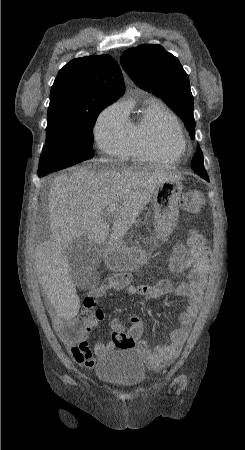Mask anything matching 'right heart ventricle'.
Returning a JSON list of instances; mask_svg holds the SVG:
<instances>
[{
  "label": "right heart ventricle",
  "mask_w": 245,
  "mask_h": 450,
  "mask_svg": "<svg viewBox=\"0 0 245 450\" xmlns=\"http://www.w3.org/2000/svg\"><path fill=\"white\" fill-rule=\"evenodd\" d=\"M126 115L129 121L128 156L134 161L174 162L178 159L158 143L157 130L160 122L170 116L177 120L166 105L150 97L145 100L134 119L130 118L129 109H126Z\"/></svg>",
  "instance_id": "1"
}]
</instances>
